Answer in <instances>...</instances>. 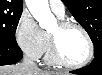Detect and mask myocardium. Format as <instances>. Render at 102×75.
<instances>
[{"mask_svg":"<svg viewBox=\"0 0 102 75\" xmlns=\"http://www.w3.org/2000/svg\"><path fill=\"white\" fill-rule=\"evenodd\" d=\"M71 28L79 29L84 34V36L87 40V44H88L87 56L82 62H80L78 64H73V63L68 62L67 60L64 59V57L61 54L59 41H58L60 34L68 31ZM49 42H50L51 58H52L53 62H55L56 64L63 66V67L74 68V67L83 66V65L87 64L92 59L93 54H94L93 41H92L88 31L81 24H79L75 21L60 20L57 23V30L55 32L49 33Z\"/></svg>","mask_w":102,"mask_h":75,"instance_id":"myocardium-1","label":"myocardium"}]
</instances>
